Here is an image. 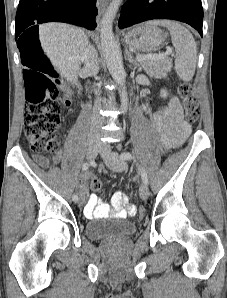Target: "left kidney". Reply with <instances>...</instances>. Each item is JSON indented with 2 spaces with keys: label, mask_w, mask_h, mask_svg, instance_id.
<instances>
[{
  "label": "left kidney",
  "mask_w": 227,
  "mask_h": 298,
  "mask_svg": "<svg viewBox=\"0 0 227 298\" xmlns=\"http://www.w3.org/2000/svg\"><path fill=\"white\" fill-rule=\"evenodd\" d=\"M167 95H168L167 91L164 90V89H162V90H161V97H162V98H166Z\"/></svg>",
  "instance_id": "obj_1"
}]
</instances>
